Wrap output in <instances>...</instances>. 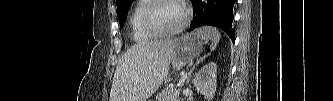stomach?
<instances>
[{
  "instance_id": "1",
  "label": "stomach",
  "mask_w": 333,
  "mask_h": 101,
  "mask_svg": "<svg viewBox=\"0 0 333 101\" xmlns=\"http://www.w3.org/2000/svg\"><path fill=\"white\" fill-rule=\"evenodd\" d=\"M203 45V39L197 33H190L174 40L171 53L173 69L179 70L193 61L202 52Z\"/></svg>"
}]
</instances>
